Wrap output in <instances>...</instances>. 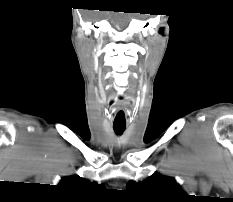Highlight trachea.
Listing matches in <instances>:
<instances>
[{
    "label": "trachea",
    "mask_w": 233,
    "mask_h": 202,
    "mask_svg": "<svg viewBox=\"0 0 233 202\" xmlns=\"http://www.w3.org/2000/svg\"><path fill=\"white\" fill-rule=\"evenodd\" d=\"M113 129L116 132V134H122L124 130L126 129V125H113Z\"/></svg>",
    "instance_id": "3493384b"
}]
</instances>
